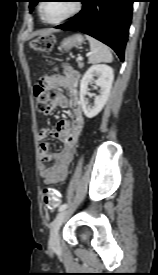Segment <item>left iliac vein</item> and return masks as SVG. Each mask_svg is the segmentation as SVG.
I'll use <instances>...</instances> for the list:
<instances>
[{
  "mask_svg": "<svg viewBox=\"0 0 158 275\" xmlns=\"http://www.w3.org/2000/svg\"><path fill=\"white\" fill-rule=\"evenodd\" d=\"M68 214V210L60 211L51 224L49 245L54 251H57L60 248L59 230Z\"/></svg>",
  "mask_w": 158,
  "mask_h": 275,
  "instance_id": "1",
  "label": "left iliac vein"
}]
</instances>
